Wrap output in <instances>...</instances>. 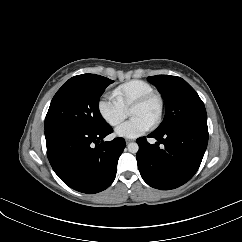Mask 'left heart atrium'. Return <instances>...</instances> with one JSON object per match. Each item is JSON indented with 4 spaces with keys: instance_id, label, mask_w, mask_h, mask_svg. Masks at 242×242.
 I'll list each match as a JSON object with an SVG mask.
<instances>
[{
    "instance_id": "1",
    "label": "left heart atrium",
    "mask_w": 242,
    "mask_h": 242,
    "mask_svg": "<svg viewBox=\"0 0 242 242\" xmlns=\"http://www.w3.org/2000/svg\"><path fill=\"white\" fill-rule=\"evenodd\" d=\"M151 124L139 117H133L130 120L120 124L115 129V134L125 138H136L147 132Z\"/></svg>"
}]
</instances>
